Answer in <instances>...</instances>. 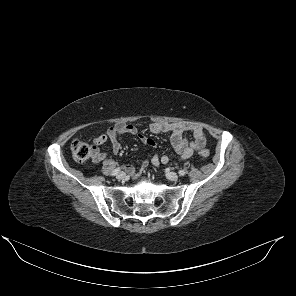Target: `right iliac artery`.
Listing matches in <instances>:
<instances>
[{"label": "right iliac artery", "instance_id": "obj_1", "mask_svg": "<svg viewBox=\"0 0 296 296\" xmlns=\"http://www.w3.org/2000/svg\"><path fill=\"white\" fill-rule=\"evenodd\" d=\"M120 172V168H116V169H114L113 170V172H112V176H115V175H117L118 173Z\"/></svg>", "mask_w": 296, "mask_h": 296}]
</instances>
